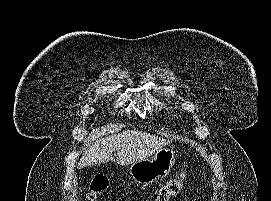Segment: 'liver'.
<instances>
[{"label":"liver","mask_w":271,"mask_h":201,"mask_svg":"<svg viewBox=\"0 0 271 201\" xmlns=\"http://www.w3.org/2000/svg\"><path fill=\"white\" fill-rule=\"evenodd\" d=\"M172 141L138 130H125L111 136H89L88 149L80 158L78 169L113 161V151H117L116 161L125 166L147 159Z\"/></svg>","instance_id":"liver-1"}]
</instances>
